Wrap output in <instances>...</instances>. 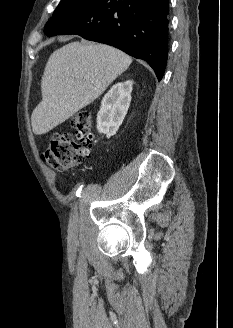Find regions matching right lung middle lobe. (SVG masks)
Wrapping results in <instances>:
<instances>
[{"label":"right lung middle lobe","instance_id":"right-lung-middle-lobe-1","mask_svg":"<svg viewBox=\"0 0 233 328\" xmlns=\"http://www.w3.org/2000/svg\"><path fill=\"white\" fill-rule=\"evenodd\" d=\"M95 0H61L58 7L54 11L52 18L45 25V32L48 35L50 33V26L53 25L57 20H60L74 12L88 6Z\"/></svg>","mask_w":233,"mask_h":328}]
</instances>
